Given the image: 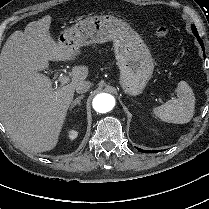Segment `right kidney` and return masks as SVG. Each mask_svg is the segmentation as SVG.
<instances>
[{
    "instance_id": "ca27d5eb",
    "label": "right kidney",
    "mask_w": 209,
    "mask_h": 209,
    "mask_svg": "<svg viewBox=\"0 0 209 209\" xmlns=\"http://www.w3.org/2000/svg\"><path fill=\"white\" fill-rule=\"evenodd\" d=\"M77 136H78V131H76V130H74V129H72V130H70V131L68 132V138H69L70 140L76 139Z\"/></svg>"
}]
</instances>
